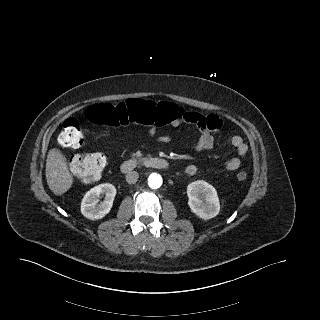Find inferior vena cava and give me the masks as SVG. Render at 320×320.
Returning <instances> with one entry per match:
<instances>
[{"label":"inferior vena cava","instance_id":"obj_1","mask_svg":"<svg viewBox=\"0 0 320 320\" xmlns=\"http://www.w3.org/2000/svg\"><path fill=\"white\" fill-rule=\"evenodd\" d=\"M138 177H139V174L138 172L136 171H130L126 174V181L129 183V184H134L137 182L138 180Z\"/></svg>","mask_w":320,"mask_h":320}]
</instances>
